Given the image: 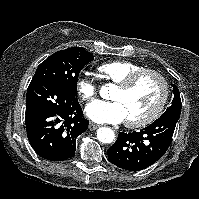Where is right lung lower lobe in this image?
<instances>
[{
  "label": "right lung lower lobe",
  "mask_w": 199,
  "mask_h": 199,
  "mask_svg": "<svg viewBox=\"0 0 199 199\" xmlns=\"http://www.w3.org/2000/svg\"><path fill=\"white\" fill-rule=\"evenodd\" d=\"M25 121L31 146L51 161L74 156L76 138L88 128L77 97L51 80L30 83Z\"/></svg>",
  "instance_id": "obj_1"
}]
</instances>
